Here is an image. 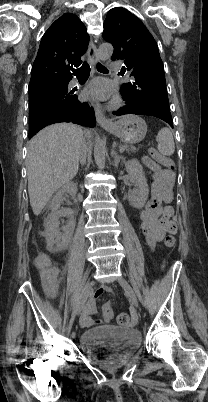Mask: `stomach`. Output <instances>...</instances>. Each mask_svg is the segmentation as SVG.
<instances>
[{"label":"stomach","mask_w":208,"mask_h":402,"mask_svg":"<svg viewBox=\"0 0 208 402\" xmlns=\"http://www.w3.org/2000/svg\"><path fill=\"white\" fill-rule=\"evenodd\" d=\"M107 130L116 138H120L124 144H138L145 138L147 126L142 118L128 114L121 116L118 122H112V126Z\"/></svg>","instance_id":"stomach-1"}]
</instances>
